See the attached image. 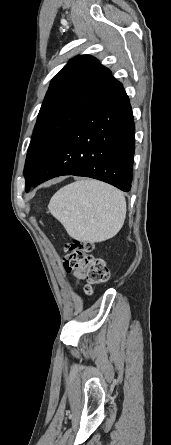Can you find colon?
Returning a JSON list of instances; mask_svg holds the SVG:
<instances>
[{
	"label": "colon",
	"instance_id": "1",
	"mask_svg": "<svg viewBox=\"0 0 171 445\" xmlns=\"http://www.w3.org/2000/svg\"><path fill=\"white\" fill-rule=\"evenodd\" d=\"M93 244L72 241L66 245L63 266L67 272H81L85 275L86 294H92L94 288L109 279V270L103 259L92 254Z\"/></svg>",
	"mask_w": 171,
	"mask_h": 445
}]
</instances>
